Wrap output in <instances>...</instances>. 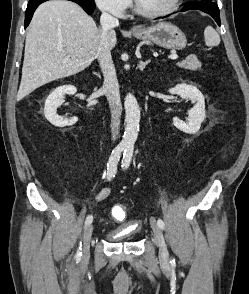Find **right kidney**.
<instances>
[{
  "instance_id": "ca27d5eb",
  "label": "right kidney",
  "mask_w": 249,
  "mask_h": 294,
  "mask_svg": "<svg viewBox=\"0 0 249 294\" xmlns=\"http://www.w3.org/2000/svg\"><path fill=\"white\" fill-rule=\"evenodd\" d=\"M77 92L76 87L73 85H63L56 88L47 97L44 106V114L46 119L54 126L65 127L73 125L77 122L78 118L74 117L71 119L61 117L57 114V108L64 102L63 96L65 94H74Z\"/></svg>"
}]
</instances>
